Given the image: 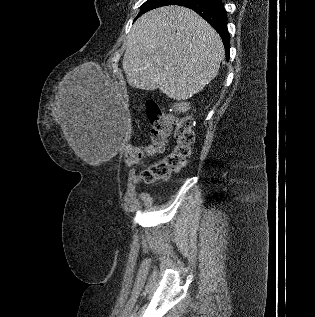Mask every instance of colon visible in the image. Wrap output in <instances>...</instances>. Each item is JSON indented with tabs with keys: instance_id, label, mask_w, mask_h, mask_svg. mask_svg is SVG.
I'll return each mask as SVG.
<instances>
[{
	"instance_id": "obj_1",
	"label": "colon",
	"mask_w": 315,
	"mask_h": 317,
	"mask_svg": "<svg viewBox=\"0 0 315 317\" xmlns=\"http://www.w3.org/2000/svg\"><path fill=\"white\" fill-rule=\"evenodd\" d=\"M179 116L165 113L159 105L150 100L146 104V114L150 122V143L147 145H129L125 153V161L129 165L139 163L143 158L154 156L164 151L167 138L174 125L176 144L172 151L162 159L147 165L139 174L138 180L145 184H153L168 179L180 171L192 153L195 135L191 118L185 114L183 106H178Z\"/></svg>"
}]
</instances>
